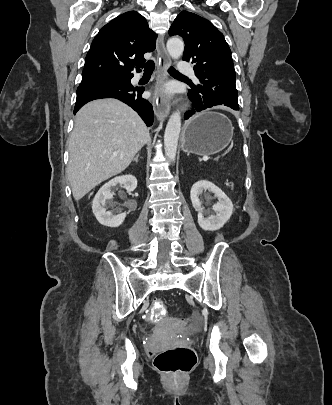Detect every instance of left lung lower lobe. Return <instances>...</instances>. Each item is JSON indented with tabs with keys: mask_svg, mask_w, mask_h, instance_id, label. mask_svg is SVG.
<instances>
[{
	"mask_svg": "<svg viewBox=\"0 0 332 405\" xmlns=\"http://www.w3.org/2000/svg\"><path fill=\"white\" fill-rule=\"evenodd\" d=\"M188 94L192 101L194 109L185 114V116H184L185 119H188L190 116H192V114H194L195 111L199 112V111L205 110L203 103L199 100L198 97L193 96L189 91H188Z\"/></svg>",
	"mask_w": 332,
	"mask_h": 405,
	"instance_id": "0a47b994",
	"label": "left lung lower lobe"
}]
</instances>
